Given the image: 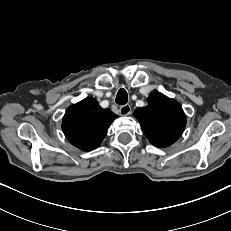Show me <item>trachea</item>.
Returning a JSON list of instances; mask_svg holds the SVG:
<instances>
[{"label":"trachea","mask_w":231,"mask_h":231,"mask_svg":"<svg viewBox=\"0 0 231 231\" xmlns=\"http://www.w3.org/2000/svg\"><path fill=\"white\" fill-rule=\"evenodd\" d=\"M116 103L119 105H124L128 102V95L124 88H121L116 96Z\"/></svg>","instance_id":"3493384b"}]
</instances>
